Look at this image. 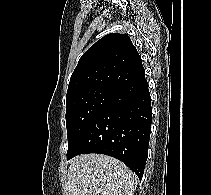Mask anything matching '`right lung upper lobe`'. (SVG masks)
<instances>
[{"label":"right lung upper lobe","mask_w":211,"mask_h":195,"mask_svg":"<svg viewBox=\"0 0 211 195\" xmlns=\"http://www.w3.org/2000/svg\"><path fill=\"white\" fill-rule=\"evenodd\" d=\"M145 76L141 57L128 34L110 33L79 59L66 98L90 89L113 90Z\"/></svg>","instance_id":"right-lung-upper-lobe-1"}]
</instances>
